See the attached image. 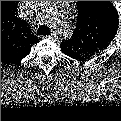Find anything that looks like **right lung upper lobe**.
I'll list each match as a JSON object with an SVG mask.
<instances>
[{"instance_id": "cb5924a9", "label": "right lung upper lobe", "mask_w": 121, "mask_h": 121, "mask_svg": "<svg viewBox=\"0 0 121 121\" xmlns=\"http://www.w3.org/2000/svg\"><path fill=\"white\" fill-rule=\"evenodd\" d=\"M17 1H1V61L12 62L25 57L38 40L26 24L15 16Z\"/></svg>"}]
</instances>
